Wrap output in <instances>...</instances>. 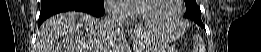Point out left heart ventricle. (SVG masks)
<instances>
[{
	"instance_id": "b2bd125f",
	"label": "left heart ventricle",
	"mask_w": 261,
	"mask_h": 52,
	"mask_svg": "<svg viewBox=\"0 0 261 52\" xmlns=\"http://www.w3.org/2000/svg\"><path fill=\"white\" fill-rule=\"evenodd\" d=\"M141 13L155 18H167L176 10V0H149L140 3Z\"/></svg>"
}]
</instances>
